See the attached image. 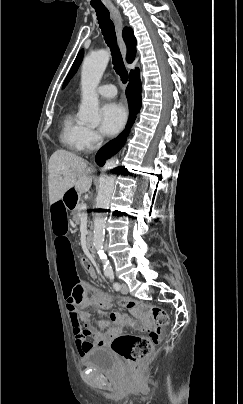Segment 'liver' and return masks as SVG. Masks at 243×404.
I'll use <instances>...</instances> for the list:
<instances>
[{"mask_svg": "<svg viewBox=\"0 0 243 404\" xmlns=\"http://www.w3.org/2000/svg\"><path fill=\"white\" fill-rule=\"evenodd\" d=\"M48 172L50 204L62 200L65 192L73 186L79 194L88 192L92 186L93 178L87 162L66 150H57L52 154Z\"/></svg>", "mask_w": 243, "mask_h": 404, "instance_id": "6515ba94", "label": "liver"}]
</instances>
